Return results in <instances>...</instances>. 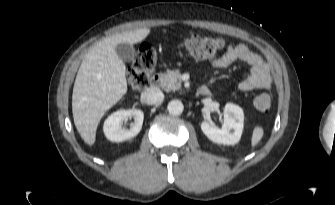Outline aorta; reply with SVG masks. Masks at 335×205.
<instances>
[{"mask_svg": "<svg viewBox=\"0 0 335 205\" xmlns=\"http://www.w3.org/2000/svg\"><path fill=\"white\" fill-rule=\"evenodd\" d=\"M168 112L172 115H180L184 110L183 103L180 100H171L167 106Z\"/></svg>", "mask_w": 335, "mask_h": 205, "instance_id": "obj_1", "label": "aorta"}]
</instances>
